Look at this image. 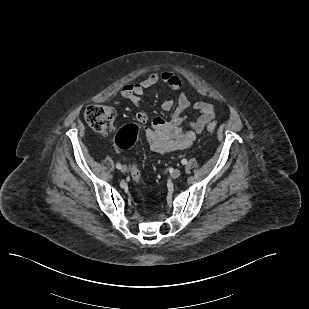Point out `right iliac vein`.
<instances>
[{"label":"right iliac vein","mask_w":309,"mask_h":309,"mask_svg":"<svg viewBox=\"0 0 309 309\" xmlns=\"http://www.w3.org/2000/svg\"><path fill=\"white\" fill-rule=\"evenodd\" d=\"M127 170H128V169H127V167H126V166H122V167H121V172H122V173H126V172H127Z\"/></svg>","instance_id":"63e3f726"}]
</instances>
